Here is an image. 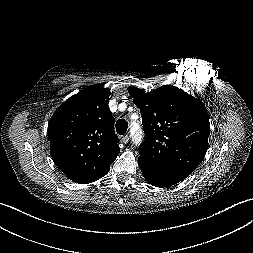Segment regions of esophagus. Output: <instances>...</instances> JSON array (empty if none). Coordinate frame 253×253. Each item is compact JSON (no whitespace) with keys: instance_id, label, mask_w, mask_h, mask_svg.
<instances>
[{"instance_id":"esophagus-1","label":"esophagus","mask_w":253,"mask_h":253,"mask_svg":"<svg viewBox=\"0 0 253 253\" xmlns=\"http://www.w3.org/2000/svg\"><path fill=\"white\" fill-rule=\"evenodd\" d=\"M122 143L127 144L129 142V136L128 135H124L121 138Z\"/></svg>"}]
</instances>
